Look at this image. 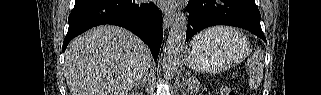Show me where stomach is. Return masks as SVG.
<instances>
[{
  "instance_id": "stomach-1",
  "label": "stomach",
  "mask_w": 321,
  "mask_h": 95,
  "mask_svg": "<svg viewBox=\"0 0 321 95\" xmlns=\"http://www.w3.org/2000/svg\"><path fill=\"white\" fill-rule=\"evenodd\" d=\"M249 40L234 30L220 37L196 36L189 45L186 63L196 71L221 72L244 60Z\"/></svg>"
}]
</instances>
